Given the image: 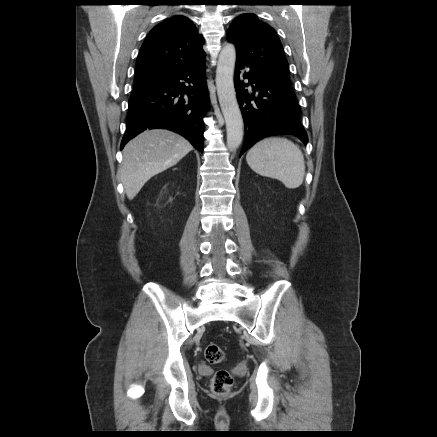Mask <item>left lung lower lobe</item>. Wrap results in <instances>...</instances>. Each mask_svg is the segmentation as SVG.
I'll use <instances>...</instances> for the list:
<instances>
[{"label": "left lung lower lobe", "instance_id": "0a47b994", "mask_svg": "<svg viewBox=\"0 0 437 437\" xmlns=\"http://www.w3.org/2000/svg\"><path fill=\"white\" fill-rule=\"evenodd\" d=\"M246 66L249 71L242 73ZM244 79H248V84L244 83ZM234 85L246 133L240 155L258 140L275 134L289 133L305 144L308 142L291 90L269 80L240 58L236 59ZM248 85H251V90L246 89Z\"/></svg>", "mask_w": 437, "mask_h": 437}]
</instances>
